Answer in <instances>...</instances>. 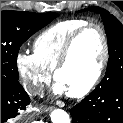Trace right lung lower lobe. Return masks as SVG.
Returning a JSON list of instances; mask_svg holds the SVG:
<instances>
[{
    "label": "right lung lower lobe",
    "mask_w": 123,
    "mask_h": 123,
    "mask_svg": "<svg viewBox=\"0 0 123 123\" xmlns=\"http://www.w3.org/2000/svg\"><path fill=\"white\" fill-rule=\"evenodd\" d=\"M29 103L30 98L20 83H1V123L19 121L17 116Z\"/></svg>",
    "instance_id": "right-lung-lower-lobe-1"
}]
</instances>
